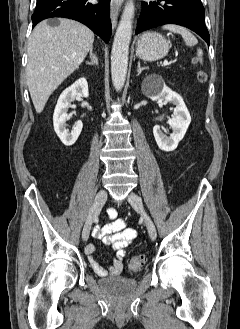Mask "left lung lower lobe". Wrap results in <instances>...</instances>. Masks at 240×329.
I'll return each instance as SVG.
<instances>
[{
	"label": "left lung lower lobe",
	"instance_id": "0a47b994",
	"mask_svg": "<svg viewBox=\"0 0 240 329\" xmlns=\"http://www.w3.org/2000/svg\"><path fill=\"white\" fill-rule=\"evenodd\" d=\"M136 34L164 24L187 27L201 36L209 46L210 37L204 23L201 0H157L142 2Z\"/></svg>",
	"mask_w": 240,
	"mask_h": 329
}]
</instances>
